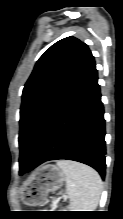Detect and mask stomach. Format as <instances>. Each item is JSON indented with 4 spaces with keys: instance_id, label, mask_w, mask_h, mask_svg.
Segmentation results:
<instances>
[{
    "instance_id": "1",
    "label": "stomach",
    "mask_w": 123,
    "mask_h": 219,
    "mask_svg": "<svg viewBox=\"0 0 123 219\" xmlns=\"http://www.w3.org/2000/svg\"><path fill=\"white\" fill-rule=\"evenodd\" d=\"M65 181V173L53 164L40 167L32 176L23 193L24 203L30 206L42 204L49 192L58 190Z\"/></svg>"
}]
</instances>
